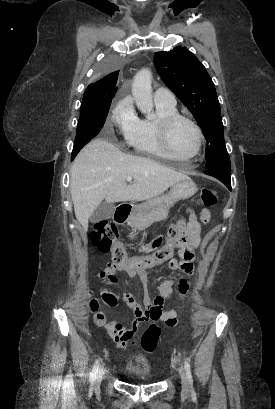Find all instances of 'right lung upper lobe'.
<instances>
[{"instance_id": "1", "label": "right lung upper lobe", "mask_w": 275, "mask_h": 409, "mask_svg": "<svg viewBox=\"0 0 275 409\" xmlns=\"http://www.w3.org/2000/svg\"><path fill=\"white\" fill-rule=\"evenodd\" d=\"M119 73H111L101 80L90 84L83 96V101L96 102V101H110L117 91V79Z\"/></svg>"}]
</instances>
